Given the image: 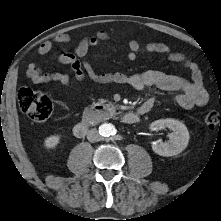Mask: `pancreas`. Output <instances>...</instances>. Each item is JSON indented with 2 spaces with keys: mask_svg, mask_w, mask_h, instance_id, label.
<instances>
[{
  "mask_svg": "<svg viewBox=\"0 0 221 221\" xmlns=\"http://www.w3.org/2000/svg\"><path fill=\"white\" fill-rule=\"evenodd\" d=\"M114 115H116V112H115V107L113 105L110 106V111H109V114L106 118H103V117H89L87 115L83 116L84 120H86L88 123L90 124H97L98 122L104 120V119H107V118H111L113 117Z\"/></svg>",
  "mask_w": 221,
  "mask_h": 221,
  "instance_id": "pancreas-1",
  "label": "pancreas"
}]
</instances>
